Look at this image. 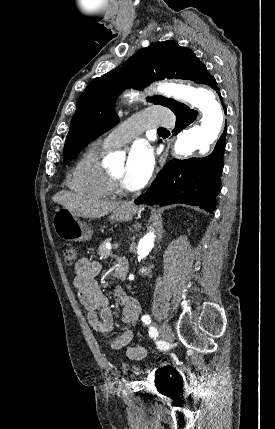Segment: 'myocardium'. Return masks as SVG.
Returning <instances> with one entry per match:
<instances>
[{"label":"myocardium","instance_id":"myocardium-1","mask_svg":"<svg viewBox=\"0 0 275 429\" xmlns=\"http://www.w3.org/2000/svg\"><path fill=\"white\" fill-rule=\"evenodd\" d=\"M107 174H108V178H109V182H110L111 191L114 192L115 194H118V195H126L128 192L122 186V184L120 183L119 179L116 178L111 173L110 170H107Z\"/></svg>","mask_w":275,"mask_h":429}]
</instances>
